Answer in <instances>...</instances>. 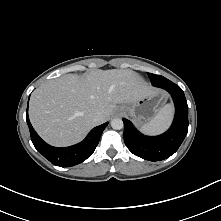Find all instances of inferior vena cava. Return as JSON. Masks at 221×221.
<instances>
[{"mask_svg": "<svg viewBox=\"0 0 221 221\" xmlns=\"http://www.w3.org/2000/svg\"><path fill=\"white\" fill-rule=\"evenodd\" d=\"M101 119H102V114H101L100 112H98V113H96V114L94 115V120H95L96 122H100Z\"/></svg>", "mask_w": 221, "mask_h": 221, "instance_id": "602c4592", "label": "inferior vena cava"}]
</instances>
